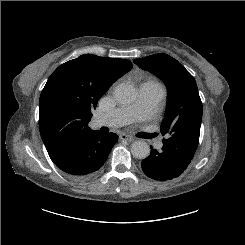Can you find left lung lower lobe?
Segmentation results:
<instances>
[{
  "mask_svg": "<svg viewBox=\"0 0 245 245\" xmlns=\"http://www.w3.org/2000/svg\"><path fill=\"white\" fill-rule=\"evenodd\" d=\"M191 160L180 150L163 144L160 152L151 147V154L142 161L141 166L148 177L167 181L180 176Z\"/></svg>",
  "mask_w": 245,
  "mask_h": 245,
  "instance_id": "1",
  "label": "left lung lower lobe"
}]
</instances>
